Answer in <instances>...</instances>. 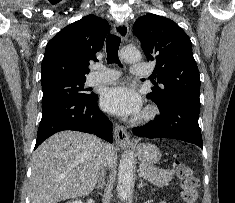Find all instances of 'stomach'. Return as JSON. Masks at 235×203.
Masks as SVG:
<instances>
[{"label":"stomach","mask_w":235,"mask_h":203,"mask_svg":"<svg viewBox=\"0 0 235 203\" xmlns=\"http://www.w3.org/2000/svg\"><path fill=\"white\" fill-rule=\"evenodd\" d=\"M136 151L138 158L142 162V164L153 165L157 163L161 158L159 149L157 148V146L151 143L139 144L136 147Z\"/></svg>","instance_id":"obj_1"}]
</instances>
